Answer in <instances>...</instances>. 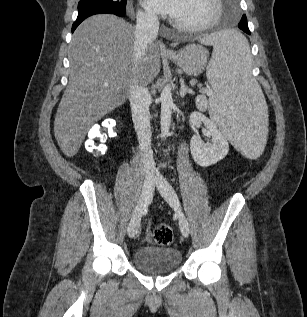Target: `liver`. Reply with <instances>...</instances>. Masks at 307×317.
I'll return each instance as SVG.
<instances>
[{
	"label": "liver",
	"mask_w": 307,
	"mask_h": 317,
	"mask_svg": "<svg viewBox=\"0 0 307 317\" xmlns=\"http://www.w3.org/2000/svg\"><path fill=\"white\" fill-rule=\"evenodd\" d=\"M134 41V27L109 14L90 17L75 30L69 82L54 121L55 138L66 156L78 152L91 125L127 99L134 78ZM160 67L159 45L150 43L138 68L139 83L149 84Z\"/></svg>",
	"instance_id": "6515ba94"
}]
</instances>
